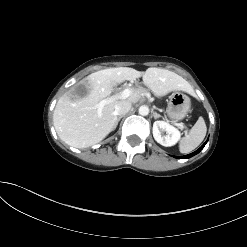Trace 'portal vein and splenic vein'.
I'll use <instances>...</instances> for the list:
<instances>
[{"mask_svg":"<svg viewBox=\"0 0 247 247\" xmlns=\"http://www.w3.org/2000/svg\"><path fill=\"white\" fill-rule=\"evenodd\" d=\"M132 94H133V90L131 88L124 89L119 95L109 97V98L104 99L101 102H99L97 107L99 110H101L109 102H112L116 99H126V98L130 97ZM174 124L176 126H178L181 130L184 129V126L182 123H174Z\"/></svg>","mask_w":247,"mask_h":247,"instance_id":"obj_1","label":"portal vein and splenic vein"}]
</instances>
